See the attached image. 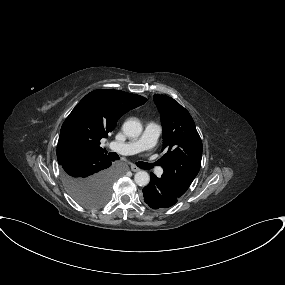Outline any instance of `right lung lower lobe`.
Returning <instances> with one entry per match:
<instances>
[{"label":"right lung lower lobe","mask_w":285,"mask_h":285,"mask_svg":"<svg viewBox=\"0 0 285 285\" xmlns=\"http://www.w3.org/2000/svg\"><path fill=\"white\" fill-rule=\"evenodd\" d=\"M106 153H93L81 156L73 161L63 163L62 172L67 178L87 181L114 180V170Z\"/></svg>","instance_id":"right-lung-lower-lobe-1"}]
</instances>
